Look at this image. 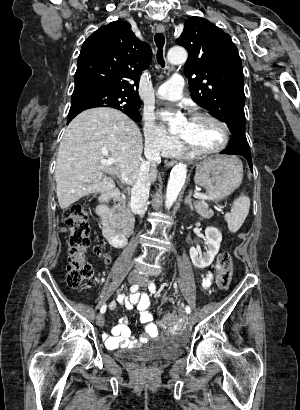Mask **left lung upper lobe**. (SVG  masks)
<instances>
[{"label": "left lung upper lobe", "mask_w": 300, "mask_h": 410, "mask_svg": "<svg viewBox=\"0 0 300 410\" xmlns=\"http://www.w3.org/2000/svg\"><path fill=\"white\" fill-rule=\"evenodd\" d=\"M176 43L188 51L184 73L192 99L226 123L232 135L246 137L243 68L230 36L204 18L191 17Z\"/></svg>", "instance_id": "5c2ea615"}]
</instances>
